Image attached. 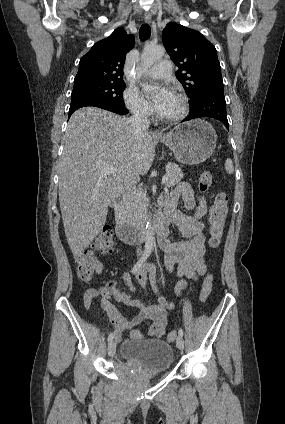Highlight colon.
<instances>
[{"label":"colon","instance_id":"5ec220e1","mask_svg":"<svg viewBox=\"0 0 285 424\" xmlns=\"http://www.w3.org/2000/svg\"><path fill=\"white\" fill-rule=\"evenodd\" d=\"M213 174L211 171H204L199 180L198 188L200 193L206 194L212 184ZM228 214V197L225 193H218L213 199L209 217V244L215 248L219 245L223 229ZM114 245V238L112 230L109 226H105L100 231L97 237V247L102 253H109L112 251ZM77 263V273L81 280L90 281L97 275L101 269L102 264L99 258L91 251H80L75 254ZM212 289V276L207 274L203 282V289L201 301L208 300ZM176 332L172 331L168 334V341L173 342L176 339Z\"/></svg>","mask_w":285,"mask_h":424}]
</instances>
